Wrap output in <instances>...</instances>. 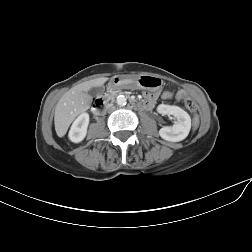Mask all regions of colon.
<instances>
[{
    "label": "colon",
    "mask_w": 252,
    "mask_h": 252,
    "mask_svg": "<svg viewBox=\"0 0 252 252\" xmlns=\"http://www.w3.org/2000/svg\"><path fill=\"white\" fill-rule=\"evenodd\" d=\"M140 83H141L142 85H148V84H149V83H148L147 81H145V80H141ZM163 98H164V99H172V98H173V94L170 93V92H165V93H163ZM175 99H176V100H183V102H184V104H185V107H186L191 113L194 114V117H193V127L196 128V127L198 126V124H199V118H198V116H197V114H196V112H197V105H196V103H195L193 100H191L190 98L182 96L180 93H177V94L175 95Z\"/></svg>",
    "instance_id": "colon-1"
}]
</instances>
